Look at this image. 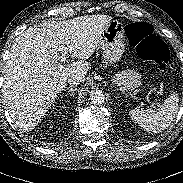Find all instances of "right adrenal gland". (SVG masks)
<instances>
[{
	"mask_svg": "<svg viewBox=\"0 0 183 183\" xmlns=\"http://www.w3.org/2000/svg\"><path fill=\"white\" fill-rule=\"evenodd\" d=\"M76 90H77V88L75 86H69V89L67 91V95L68 94L73 95Z\"/></svg>",
	"mask_w": 183,
	"mask_h": 183,
	"instance_id": "obj_1",
	"label": "right adrenal gland"
}]
</instances>
